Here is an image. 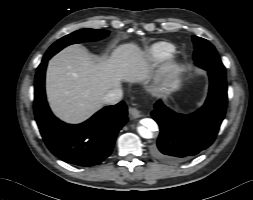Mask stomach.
I'll use <instances>...</instances> for the list:
<instances>
[{
  "mask_svg": "<svg viewBox=\"0 0 253 200\" xmlns=\"http://www.w3.org/2000/svg\"><path fill=\"white\" fill-rule=\"evenodd\" d=\"M180 83H181V81L178 76H176V75L172 76L166 83V86H167L166 91L172 92V91L179 89Z\"/></svg>",
  "mask_w": 253,
  "mask_h": 200,
  "instance_id": "1",
  "label": "stomach"
}]
</instances>
